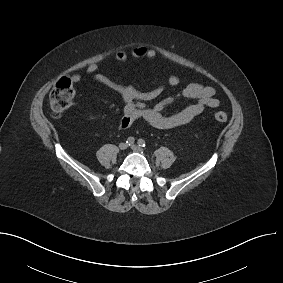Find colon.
I'll return each instance as SVG.
<instances>
[{
	"mask_svg": "<svg viewBox=\"0 0 283 283\" xmlns=\"http://www.w3.org/2000/svg\"><path fill=\"white\" fill-rule=\"evenodd\" d=\"M74 96L75 88L71 79L68 77L59 79L53 86L49 96L50 108L53 115L59 116L68 109ZM214 117L218 122L222 123L228 120V115L224 111H217Z\"/></svg>",
	"mask_w": 283,
	"mask_h": 283,
	"instance_id": "colon-1",
	"label": "colon"
}]
</instances>
